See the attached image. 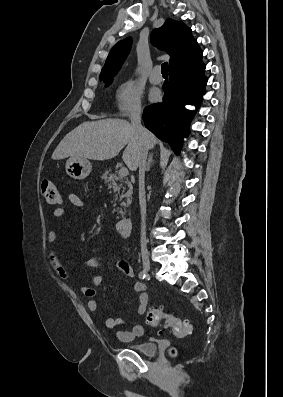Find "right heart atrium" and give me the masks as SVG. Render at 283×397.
Here are the masks:
<instances>
[{
  "label": "right heart atrium",
  "mask_w": 283,
  "mask_h": 397,
  "mask_svg": "<svg viewBox=\"0 0 283 397\" xmlns=\"http://www.w3.org/2000/svg\"><path fill=\"white\" fill-rule=\"evenodd\" d=\"M115 111L119 116L129 117L142 110V91L133 80L118 84L114 97Z\"/></svg>",
  "instance_id": "obj_1"
}]
</instances>
